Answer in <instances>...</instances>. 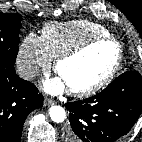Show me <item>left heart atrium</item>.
<instances>
[{
	"label": "left heart atrium",
	"instance_id": "obj_1",
	"mask_svg": "<svg viewBox=\"0 0 142 142\" xmlns=\"http://www.w3.org/2000/svg\"><path fill=\"white\" fill-rule=\"evenodd\" d=\"M44 88L47 92L52 94L62 93L68 89L66 83L60 76L46 81L44 83Z\"/></svg>",
	"mask_w": 142,
	"mask_h": 142
}]
</instances>
